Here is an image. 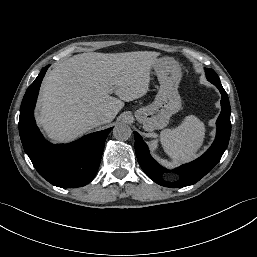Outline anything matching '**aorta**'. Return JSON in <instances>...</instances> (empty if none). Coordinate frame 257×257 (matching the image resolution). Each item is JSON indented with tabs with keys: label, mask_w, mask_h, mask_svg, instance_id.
<instances>
[{
	"label": "aorta",
	"mask_w": 257,
	"mask_h": 257,
	"mask_svg": "<svg viewBox=\"0 0 257 257\" xmlns=\"http://www.w3.org/2000/svg\"><path fill=\"white\" fill-rule=\"evenodd\" d=\"M132 135V130L129 125L125 123H118L113 129V136L117 140L126 141Z\"/></svg>",
	"instance_id": "obj_1"
}]
</instances>
